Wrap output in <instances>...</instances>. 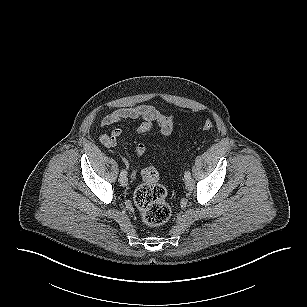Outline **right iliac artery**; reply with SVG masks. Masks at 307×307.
<instances>
[{"mask_svg":"<svg viewBox=\"0 0 307 307\" xmlns=\"http://www.w3.org/2000/svg\"><path fill=\"white\" fill-rule=\"evenodd\" d=\"M127 172L125 170H122L121 173H120V176H123V175H126Z\"/></svg>","mask_w":307,"mask_h":307,"instance_id":"82829eb1","label":"right iliac artery"}]
</instances>
